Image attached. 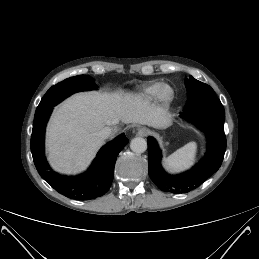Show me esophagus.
<instances>
[{
	"label": "esophagus",
	"mask_w": 259,
	"mask_h": 259,
	"mask_svg": "<svg viewBox=\"0 0 259 259\" xmlns=\"http://www.w3.org/2000/svg\"><path fill=\"white\" fill-rule=\"evenodd\" d=\"M137 134L141 137H145L149 134V130L145 127H140L137 129Z\"/></svg>",
	"instance_id": "1"
}]
</instances>
